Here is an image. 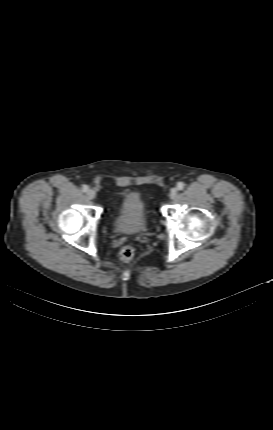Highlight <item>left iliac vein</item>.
Returning <instances> with one entry per match:
<instances>
[{"instance_id":"1","label":"left iliac vein","mask_w":273,"mask_h":430,"mask_svg":"<svg viewBox=\"0 0 273 430\" xmlns=\"http://www.w3.org/2000/svg\"><path fill=\"white\" fill-rule=\"evenodd\" d=\"M176 195H177V189H176V188H172V189L170 190L169 197H170L171 199H175V198H176Z\"/></svg>"}]
</instances>
